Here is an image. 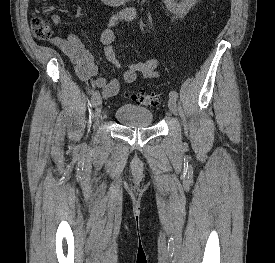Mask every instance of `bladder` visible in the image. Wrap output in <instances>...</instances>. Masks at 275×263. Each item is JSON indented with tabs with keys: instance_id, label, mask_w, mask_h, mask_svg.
<instances>
[{
	"instance_id": "1",
	"label": "bladder",
	"mask_w": 275,
	"mask_h": 263,
	"mask_svg": "<svg viewBox=\"0 0 275 263\" xmlns=\"http://www.w3.org/2000/svg\"><path fill=\"white\" fill-rule=\"evenodd\" d=\"M114 117L123 126L135 128L147 127L153 121V112L144 107L124 104L115 110Z\"/></svg>"
}]
</instances>
